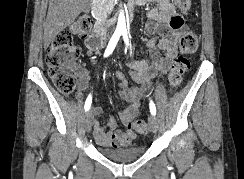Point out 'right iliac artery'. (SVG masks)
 <instances>
[{"instance_id":"right-iliac-artery-1","label":"right iliac artery","mask_w":244,"mask_h":179,"mask_svg":"<svg viewBox=\"0 0 244 179\" xmlns=\"http://www.w3.org/2000/svg\"><path fill=\"white\" fill-rule=\"evenodd\" d=\"M120 36H121V32L113 34V36H112L111 40L109 41L108 46L105 50L104 57H107L110 54H112ZM91 103H92V97H91V95H89L87 97L85 105H84L85 111H88L90 109Z\"/></svg>"}]
</instances>
